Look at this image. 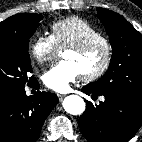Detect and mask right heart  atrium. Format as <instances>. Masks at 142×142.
Returning <instances> with one entry per match:
<instances>
[{
	"label": "right heart atrium",
	"mask_w": 142,
	"mask_h": 142,
	"mask_svg": "<svg viewBox=\"0 0 142 142\" xmlns=\"http://www.w3.org/2000/svg\"><path fill=\"white\" fill-rule=\"evenodd\" d=\"M31 57L39 64H45L54 61L58 54L59 48L51 35H36L29 47Z\"/></svg>",
	"instance_id": "d8ad5b80"
}]
</instances>
